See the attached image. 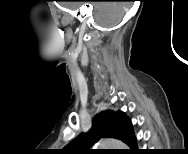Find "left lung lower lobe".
I'll return each mask as SVG.
<instances>
[{"mask_svg": "<svg viewBox=\"0 0 188 154\" xmlns=\"http://www.w3.org/2000/svg\"><path fill=\"white\" fill-rule=\"evenodd\" d=\"M123 142L127 144L131 148V150H136V139L133 134L131 122H129L128 124V128L126 131V135L123 139Z\"/></svg>", "mask_w": 188, "mask_h": 154, "instance_id": "1", "label": "left lung lower lobe"}]
</instances>
